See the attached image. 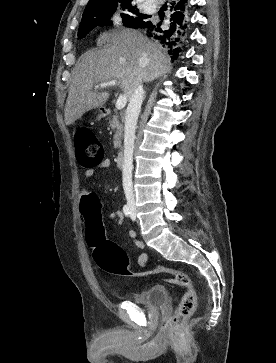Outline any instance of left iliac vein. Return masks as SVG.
<instances>
[{"mask_svg":"<svg viewBox=\"0 0 276 363\" xmlns=\"http://www.w3.org/2000/svg\"><path fill=\"white\" fill-rule=\"evenodd\" d=\"M130 217H131L132 220H135L136 219V212H135L134 208L131 211Z\"/></svg>","mask_w":276,"mask_h":363,"instance_id":"left-iliac-vein-1","label":"left iliac vein"}]
</instances>
